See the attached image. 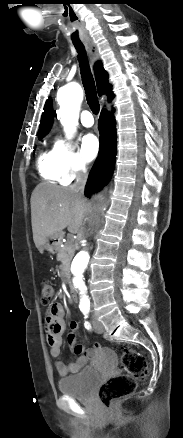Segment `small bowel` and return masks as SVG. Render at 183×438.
<instances>
[{
    "label": "small bowel",
    "instance_id": "small-bowel-1",
    "mask_svg": "<svg viewBox=\"0 0 183 438\" xmlns=\"http://www.w3.org/2000/svg\"><path fill=\"white\" fill-rule=\"evenodd\" d=\"M46 337L50 346V353L54 358H59L62 353L63 333L65 330L64 310L60 304H52L47 312L46 319ZM78 324L71 321L68 327L67 341L71 350L78 356L77 359L69 364L62 361H57L55 367L59 375L78 373L89 360L101 349L99 344H94L90 348L77 342Z\"/></svg>",
    "mask_w": 183,
    "mask_h": 438
}]
</instances>
